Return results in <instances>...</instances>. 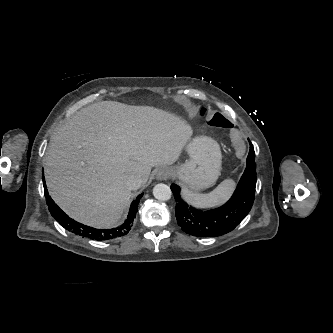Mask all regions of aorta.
Instances as JSON below:
<instances>
[{
  "instance_id": "1",
  "label": "aorta",
  "mask_w": 333,
  "mask_h": 333,
  "mask_svg": "<svg viewBox=\"0 0 333 333\" xmlns=\"http://www.w3.org/2000/svg\"><path fill=\"white\" fill-rule=\"evenodd\" d=\"M153 195L158 200L167 201L171 198L172 192L168 185L160 183L154 186Z\"/></svg>"
}]
</instances>
